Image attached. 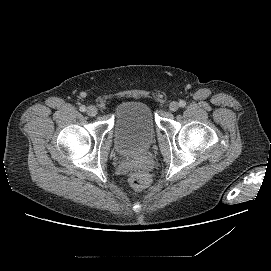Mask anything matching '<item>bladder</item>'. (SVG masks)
<instances>
[{
  "label": "bladder",
  "instance_id": "1",
  "mask_svg": "<svg viewBox=\"0 0 271 271\" xmlns=\"http://www.w3.org/2000/svg\"><path fill=\"white\" fill-rule=\"evenodd\" d=\"M156 127L151 108L140 101H127L115 112L114 136L117 151L124 156L145 152L155 139Z\"/></svg>",
  "mask_w": 271,
  "mask_h": 271
}]
</instances>
